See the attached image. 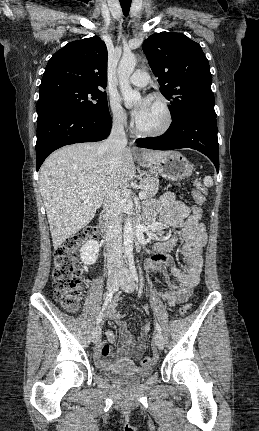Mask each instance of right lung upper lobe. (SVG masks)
<instances>
[{
	"label": "right lung upper lobe",
	"instance_id": "right-lung-upper-lobe-1",
	"mask_svg": "<svg viewBox=\"0 0 259 431\" xmlns=\"http://www.w3.org/2000/svg\"><path fill=\"white\" fill-rule=\"evenodd\" d=\"M52 82L105 88L107 48L104 41L94 36L70 42L57 51L45 68L40 89Z\"/></svg>",
	"mask_w": 259,
	"mask_h": 431
}]
</instances>
